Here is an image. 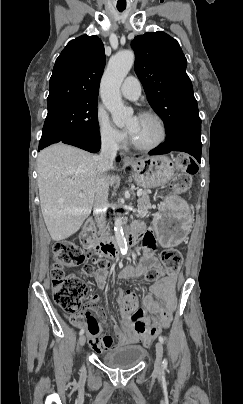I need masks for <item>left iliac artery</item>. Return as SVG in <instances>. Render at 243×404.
<instances>
[{"label":"left iliac artery","mask_w":243,"mask_h":404,"mask_svg":"<svg viewBox=\"0 0 243 404\" xmlns=\"http://www.w3.org/2000/svg\"><path fill=\"white\" fill-rule=\"evenodd\" d=\"M159 341H160L161 343H164V338H163V336H159ZM163 367H164V368L167 367V360H166V359H164V361H163Z\"/></svg>","instance_id":"left-iliac-artery-1"}]
</instances>
